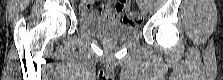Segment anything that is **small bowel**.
Listing matches in <instances>:
<instances>
[{"label":"small bowel","instance_id":"c3829d8e","mask_svg":"<svg viewBox=\"0 0 223 80\" xmlns=\"http://www.w3.org/2000/svg\"><path fill=\"white\" fill-rule=\"evenodd\" d=\"M81 13L85 16L108 20H118L121 17V14L115 9V6L112 8L109 4L94 8L90 3H86L82 6Z\"/></svg>","mask_w":223,"mask_h":80}]
</instances>
